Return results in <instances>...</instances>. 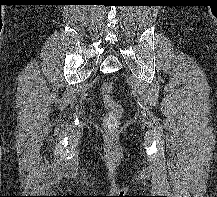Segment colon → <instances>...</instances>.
Wrapping results in <instances>:
<instances>
[{
  "instance_id": "colon-1",
  "label": "colon",
  "mask_w": 217,
  "mask_h": 197,
  "mask_svg": "<svg viewBox=\"0 0 217 197\" xmlns=\"http://www.w3.org/2000/svg\"><path fill=\"white\" fill-rule=\"evenodd\" d=\"M101 94L104 106L109 110V113L105 118V129L108 132H112L117 128L119 124L122 108L113 99V85L111 82L106 81L102 84Z\"/></svg>"
}]
</instances>
